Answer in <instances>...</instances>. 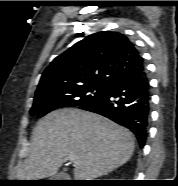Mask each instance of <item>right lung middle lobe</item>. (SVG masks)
Instances as JSON below:
<instances>
[{
    "mask_svg": "<svg viewBox=\"0 0 178 186\" xmlns=\"http://www.w3.org/2000/svg\"><path fill=\"white\" fill-rule=\"evenodd\" d=\"M109 84L91 83L70 88L45 90L35 93L31 115L42 117L63 107H80L102 95Z\"/></svg>",
    "mask_w": 178,
    "mask_h": 186,
    "instance_id": "dd1d6c3e",
    "label": "right lung middle lobe"
}]
</instances>
